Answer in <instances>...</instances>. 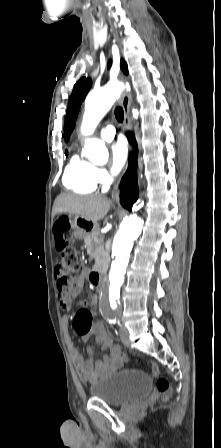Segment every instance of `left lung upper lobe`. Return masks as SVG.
Segmentation results:
<instances>
[{
  "mask_svg": "<svg viewBox=\"0 0 221 448\" xmlns=\"http://www.w3.org/2000/svg\"><path fill=\"white\" fill-rule=\"evenodd\" d=\"M111 62L108 64L110 67ZM121 69L125 74L128 73L127 65L121 60ZM91 87V80L86 77L81 78L74 86L72 95L69 99L68 111L64 126V137L68 141L69 136L75 126L80 105Z\"/></svg>",
  "mask_w": 221,
  "mask_h": 448,
  "instance_id": "obj_1",
  "label": "left lung upper lobe"
}]
</instances>
